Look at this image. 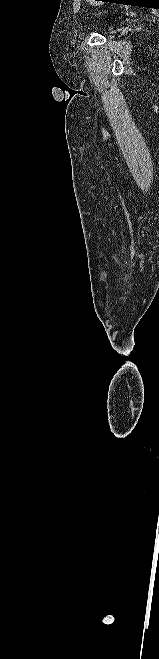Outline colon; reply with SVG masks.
Listing matches in <instances>:
<instances>
[{
	"instance_id": "obj_1",
	"label": "colon",
	"mask_w": 159,
	"mask_h": 659,
	"mask_svg": "<svg viewBox=\"0 0 159 659\" xmlns=\"http://www.w3.org/2000/svg\"><path fill=\"white\" fill-rule=\"evenodd\" d=\"M88 1L91 2V3H95L98 0H88Z\"/></svg>"
}]
</instances>
